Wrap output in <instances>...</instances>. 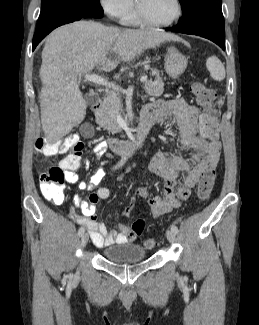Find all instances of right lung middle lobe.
<instances>
[{"label":"right lung middle lobe","mask_w":259,"mask_h":325,"mask_svg":"<svg viewBox=\"0 0 259 325\" xmlns=\"http://www.w3.org/2000/svg\"><path fill=\"white\" fill-rule=\"evenodd\" d=\"M66 11L76 12L84 17H103L100 0H41L37 26L50 16Z\"/></svg>","instance_id":"right-lung-middle-lobe-1"}]
</instances>
